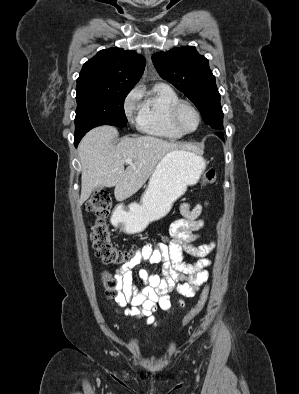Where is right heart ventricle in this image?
Instances as JSON below:
<instances>
[{"mask_svg": "<svg viewBox=\"0 0 299 394\" xmlns=\"http://www.w3.org/2000/svg\"><path fill=\"white\" fill-rule=\"evenodd\" d=\"M180 100L171 86L155 84L140 104L137 117L140 130L151 136L171 140L183 137L184 134L172 125L170 118L172 107Z\"/></svg>", "mask_w": 299, "mask_h": 394, "instance_id": "e07e8e85", "label": "right heart ventricle"}]
</instances>
